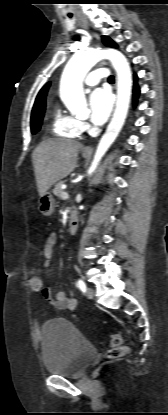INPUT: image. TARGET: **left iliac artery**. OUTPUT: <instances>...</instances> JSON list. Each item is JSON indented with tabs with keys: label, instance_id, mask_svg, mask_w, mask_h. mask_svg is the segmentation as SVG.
Returning <instances> with one entry per match:
<instances>
[{
	"label": "left iliac artery",
	"instance_id": "left-iliac-artery-1",
	"mask_svg": "<svg viewBox=\"0 0 168 415\" xmlns=\"http://www.w3.org/2000/svg\"><path fill=\"white\" fill-rule=\"evenodd\" d=\"M78 287L80 288V290L85 293L86 292V284L84 283L83 280L79 279L78 280Z\"/></svg>",
	"mask_w": 168,
	"mask_h": 415
}]
</instances>
